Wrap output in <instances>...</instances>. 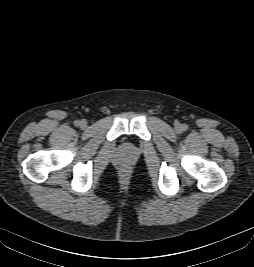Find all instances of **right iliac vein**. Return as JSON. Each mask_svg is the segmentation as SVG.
Returning <instances> with one entry per match:
<instances>
[{
    "label": "right iliac vein",
    "instance_id": "1",
    "mask_svg": "<svg viewBox=\"0 0 254 267\" xmlns=\"http://www.w3.org/2000/svg\"><path fill=\"white\" fill-rule=\"evenodd\" d=\"M80 126H81L82 128L87 127V121H86V120H82V121H80Z\"/></svg>",
    "mask_w": 254,
    "mask_h": 267
}]
</instances>
